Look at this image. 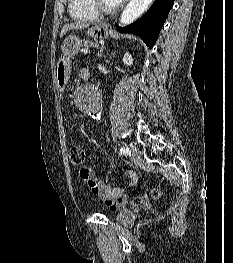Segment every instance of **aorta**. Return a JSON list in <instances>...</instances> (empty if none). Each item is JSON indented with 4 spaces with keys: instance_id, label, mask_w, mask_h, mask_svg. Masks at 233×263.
Masks as SVG:
<instances>
[{
    "instance_id": "obj_1",
    "label": "aorta",
    "mask_w": 233,
    "mask_h": 263,
    "mask_svg": "<svg viewBox=\"0 0 233 263\" xmlns=\"http://www.w3.org/2000/svg\"><path fill=\"white\" fill-rule=\"evenodd\" d=\"M154 0H131L123 10L119 24L126 26L138 19ZM101 104V92L96 84H86L80 89L77 98L79 109L89 116L97 117Z\"/></svg>"
}]
</instances>
